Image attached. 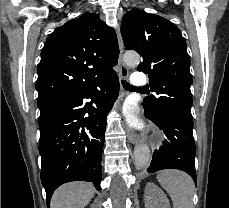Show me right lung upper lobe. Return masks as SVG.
Masks as SVG:
<instances>
[{"label":"right lung upper lobe","mask_w":229,"mask_h":208,"mask_svg":"<svg viewBox=\"0 0 229 208\" xmlns=\"http://www.w3.org/2000/svg\"><path fill=\"white\" fill-rule=\"evenodd\" d=\"M119 56L115 31L97 15L85 14L66 22L47 39L38 65L37 104L69 100L106 77Z\"/></svg>","instance_id":"obj_1"}]
</instances>
